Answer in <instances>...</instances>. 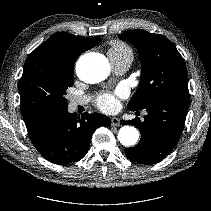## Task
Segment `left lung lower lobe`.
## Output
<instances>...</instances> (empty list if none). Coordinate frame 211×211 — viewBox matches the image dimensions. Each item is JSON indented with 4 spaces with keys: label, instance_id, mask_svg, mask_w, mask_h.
Instances as JSON below:
<instances>
[{
    "label": "left lung lower lobe",
    "instance_id": "left-lung-lower-lobe-1",
    "mask_svg": "<svg viewBox=\"0 0 211 211\" xmlns=\"http://www.w3.org/2000/svg\"><path fill=\"white\" fill-rule=\"evenodd\" d=\"M188 107L189 94H170L145 107L148 114L144 116L143 122L138 117L130 121L121 120L122 125H135L141 132L139 144L127 148L126 156L131 161L148 165L165 158L182 134Z\"/></svg>",
    "mask_w": 211,
    "mask_h": 211
}]
</instances>
